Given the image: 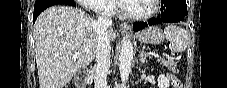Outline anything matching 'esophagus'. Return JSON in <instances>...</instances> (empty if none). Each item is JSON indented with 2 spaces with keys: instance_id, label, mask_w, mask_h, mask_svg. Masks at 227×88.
Here are the masks:
<instances>
[{
  "instance_id": "34e87169",
  "label": "esophagus",
  "mask_w": 227,
  "mask_h": 88,
  "mask_svg": "<svg viewBox=\"0 0 227 88\" xmlns=\"http://www.w3.org/2000/svg\"><path fill=\"white\" fill-rule=\"evenodd\" d=\"M120 28L123 31H131V26L127 22H122Z\"/></svg>"
}]
</instances>
